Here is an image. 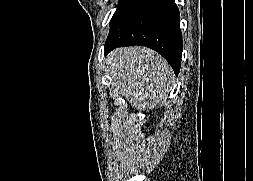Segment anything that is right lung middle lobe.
Returning <instances> with one entry per match:
<instances>
[{
    "instance_id": "right-lung-middle-lobe-1",
    "label": "right lung middle lobe",
    "mask_w": 253,
    "mask_h": 181,
    "mask_svg": "<svg viewBox=\"0 0 253 181\" xmlns=\"http://www.w3.org/2000/svg\"><path fill=\"white\" fill-rule=\"evenodd\" d=\"M135 1L136 0H119L117 9L111 18L110 26H112Z\"/></svg>"
}]
</instances>
